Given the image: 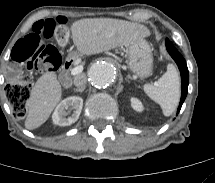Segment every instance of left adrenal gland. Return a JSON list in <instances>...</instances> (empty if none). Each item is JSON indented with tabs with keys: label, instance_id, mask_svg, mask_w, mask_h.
Returning <instances> with one entry per match:
<instances>
[{
	"label": "left adrenal gland",
	"instance_id": "a2214340",
	"mask_svg": "<svg viewBox=\"0 0 215 183\" xmlns=\"http://www.w3.org/2000/svg\"><path fill=\"white\" fill-rule=\"evenodd\" d=\"M127 78H128V79H132V77H131L129 74H128Z\"/></svg>",
	"mask_w": 215,
	"mask_h": 183
}]
</instances>
